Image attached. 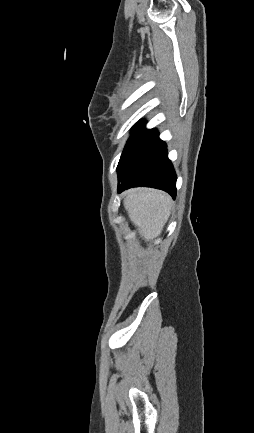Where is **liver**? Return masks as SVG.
I'll return each instance as SVG.
<instances>
[{"label":"liver","mask_w":254,"mask_h":433,"mask_svg":"<svg viewBox=\"0 0 254 433\" xmlns=\"http://www.w3.org/2000/svg\"><path fill=\"white\" fill-rule=\"evenodd\" d=\"M124 207L145 241L157 238L171 210V198L159 190L138 189L125 194Z\"/></svg>","instance_id":"liver-1"}]
</instances>
